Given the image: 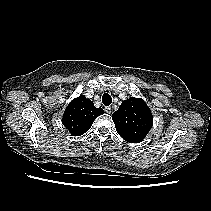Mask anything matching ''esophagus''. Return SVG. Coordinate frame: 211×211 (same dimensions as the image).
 I'll return each instance as SVG.
<instances>
[{
    "label": "esophagus",
    "instance_id": "esophagus-1",
    "mask_svg": "<svg viewBox=\"0 0 211 211\" xmlns=\"http://www.w3.org/2000/svg\"><path fill=\"white\" fill-rule=\"evenodd\" d=\"M105 112L108 114L112 113V108L110 106L105 107Z\"/></svg>",
    "mask_w": 211,
    "mask_h": 211
}]
</instances>
